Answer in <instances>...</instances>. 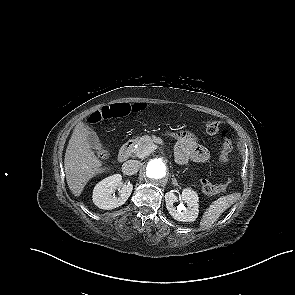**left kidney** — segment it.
Returning a JSON list of instances; mask_svg holds the SVG:
<instances>
[{
  "label": "left kidney",
  "mask_w": 295,
  "mask_h": 295,
  "mask_svg": "<svg viewBox=\"0 0 295 295\" xmlns=\"http://www.w3.org/2000/svg\"><path fill=\"white\" fill-rule=\"evenodd\" d=\"M198 194L189 188L182 191L180 199L170 191L165 194L166 208L169 214L177 221L181 222H194L198 217ZM181 201L177 206L174 204ZM183 202L186 204L184 206Z\"/></svg>",
  "instance_id": "5707ae66"
}]
</instances>
